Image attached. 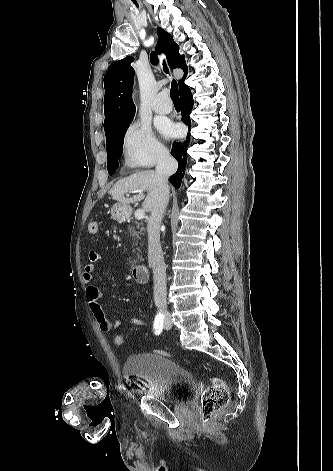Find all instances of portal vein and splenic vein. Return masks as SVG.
<instances>
[{"instance_id": "portal-vein-and-splenic-vein-1", "label": "portal vein and splenic vein", "mask_w": 333, "mask_h": 471, "mask_svg": "<svg viewBox=\"0 0 333 471\" xmlns=\"http://www.w3.org/2000/svg\"><path fill=\"white\" fill-rule=\"evenodd\" d=\"M130 193H137V192H130ZM145 217V211L143 209H138L135 211V218L140 220Z\"/></svg>"}]
</instances>
